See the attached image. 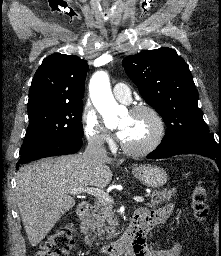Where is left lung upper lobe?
I'll use <instances>...</instances> for the list:
<instances>
[{"mask_svg":"<svg viewBox=\"0 0 221 256\" xmlns=\"http://www.w3.org/2000/svg\"><path fill=\"white\" fill-rule=\"evenodd\" d=\"M123 67L144 100L162 116L167 126L163 142L209 132L192 74L175 50L162 47L131 55L123 59Z\"/></svg>","mask_w":221,"mask_h":256,"instance_id":"left-lung-upper-lobe-1","label":"left lung upper lobe"}]
</instances>
